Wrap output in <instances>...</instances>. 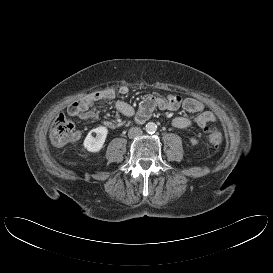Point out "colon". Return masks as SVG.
<instances>
[{"mask_svg": "<svg viewBox=\"0 0 273 273\" xmlns=\"http://www.w3.org/2000/svg\"><path fill=\"white\" fill-rule=\"evenodd\" d=\"M209 142L213 146H220L223 143V135L216 128H205ZM77 138L72 121L64 114H57L52 122L50 139L55 146H63Z\"/></svg>", "mask_w": 273, "mask_h": 273, "instance_id": "1", "label": "colon"}]
</instances>
